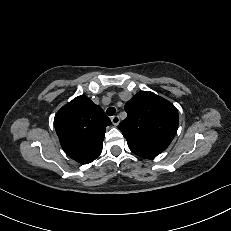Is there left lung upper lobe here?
I'll list each match as a JSON object with an SVG mask.
<instances>
[{
	"instance_id": "obj_1",
	"label": "left lung upper lobe",
	"mask_w": 231,
	"mask_h": 231,
	"mask_svg": "<svg viewBox=\"0 0 231 231\" xmlns=\"http://www.w3.org/2000/svg\"><path fill=\"white\" fill-rule=\"evenodd\" d=\"M127 118L119 124L130 150L143 158H154L174 138L179 115L166 99L140 91L125 104Z\"/></svg>"
}]
</instances>
